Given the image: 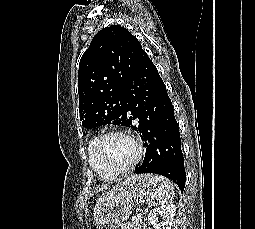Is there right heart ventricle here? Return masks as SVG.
Wrapping results in <instances>:
<instances>
[{
    "label": "right heart ventricle",
    "mask_w": 255,
    "mask_h": 229,
    "mask_svg": "<svg viewBox=\"0 0 255 229\" xmlns=\"http://www.w3.org/2000/svg\"><path fill=\"white\" fill-rule=\"evenodd\" d=\"M96 136L92 137L88 143L87 147V157L88 162L92 168V170L102 179L110 180L115 178L118 174L111 173L110 171L106 170L103 165L98 161L93 153V146L96 140Z\"/></svg>",
    "instance_id": "right-heart-ventricle-1"
}]
</instances>
